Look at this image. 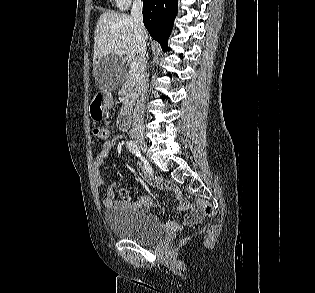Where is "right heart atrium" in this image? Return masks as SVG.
Listing matches in <instances>:
<instances>
[{
	"label": "right heart atrium",
	"mask_w": 315,
	"mask_h": 293,
	"mask_svg": "<svg viewBox=\"0 0 315 293\" xmlns=\"http://www.w3.org/2000/svg\"><path fill=\"white\" fill-rule=\"evenodd\" d=\"M116 6L120 9H127L133 0H114Z\"/></svg>",
	"instance_id": "right-heart-atrium-1"
}]
</instances>
